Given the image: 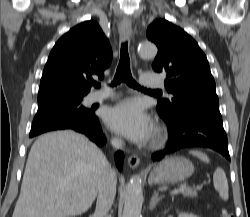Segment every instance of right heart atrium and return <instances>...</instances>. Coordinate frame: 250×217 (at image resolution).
<instances>
[{
    "label": "right heart atrium",
    "mask_w": 250,
    "mask_h": 217,
    "mask_svg": "<svg viewBox=\"0 0 250 217\" xmlns=\"http://www.w3.org/2000/svg\"><path fill=\"white\" fill-rule=\"evenodd\" d=\"M114 141H115V142H119V140H118L117 138H114Z\"/></svg>",
    "instance_id": "obj_1"
}]
</instances>
